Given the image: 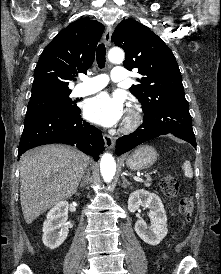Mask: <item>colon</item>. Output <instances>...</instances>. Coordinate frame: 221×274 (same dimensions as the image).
<instances>
[{
    "instance_id": "obj_1",
    "label": "colon",
    "mask_w": 221,
    "mask_h": 274,
    "mask_svg": "<svg viewBox=\"0 0 221 274\" xmlns=\"http://www.w3.org/2000/svg\"><path fill=\"white\" fill-rule=\"evenodd\" d=\"M162 193L169 198H173L178 194L179 185L176 178L170 174H167L160 183ZM194 205L190 198L185 197L180 200L179 212L181 216L188 220L193 213Z\"/></svg>"
}]
</instances>
